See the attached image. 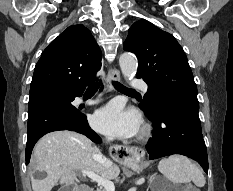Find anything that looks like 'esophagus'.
Returning a JSON list of instances; mask_svg holds the SVG:
<instances>
[{"instance_id":"1","label":"esophagus","mask_w":233,"mask_h":191,"mask_svg":"<svg viewBox=\"0 0 233 191\" xmlns=\"http://www.w3.org/2000/svg\"><path fill=\"white\" fill-rule=\"evenodd\" d=\"M120 79H121L120 72L116 68L111 66L109 68L108 82H107V87L109 91L114 90L113 82H119ZM112 149L114 151H111V156H113V158H116V162H118V164L136 163L139 162L141 158L144 156L143 149L136 147L113 145Z\"/></svg>"}]
</instances>
